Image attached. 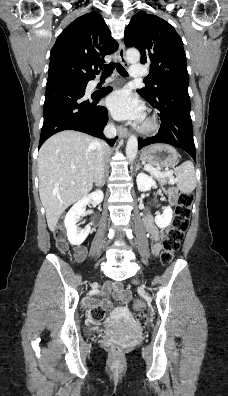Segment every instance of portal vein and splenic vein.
Returning a JSON list of instances; mask_svg holds the SVG:
<instances>
[{
    "mask_svg": "<svg viewBox=\"0 0 228 396\" xmlns=\"http://www.w3.org/2000/svg\"><path fill=\"white\" fill-rule=\"evenodd\" d=\"M145 169L148 170V171H152V172H154L155 174L161 175V176H171V175H172V173H171L170 171L160 172V171L155 170L154 168H152V167L149 166V165H146V166H145Z\"/></svg>",
    "mask_w": 228,
    "mask_h": 396,
    "instance_id": "portal-vein-and-splenic-vein-1",
    "label": "portal vein and splenic vein"
}]
</instances>
